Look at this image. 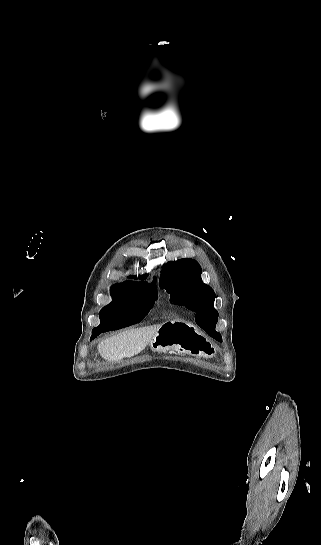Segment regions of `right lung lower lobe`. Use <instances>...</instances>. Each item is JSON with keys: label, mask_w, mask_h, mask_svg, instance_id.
<instances>
[{"label": "right lung lower lobe", "mask_w": 321, "mask_h": 545, "mask_svg": "<svg viewBox=\"0 0 321 545\" xmlns=\"http://www.w3.org/2000/svg\"><path fill=\"white\" fill-rule=\"evenodd\" d=\"M100 315H104L105 317H108L111 319L129 318L130 316L133 315V308L130 305H126V304L108 305L101 310ZM123 327H127V325L122 324V325L114 326L110 328H100L98 326L92 330L91 339H94L100 333L107 332L110 330H117Z\"/></svg>", "instance_id": "obj_1"}]
</instances>
